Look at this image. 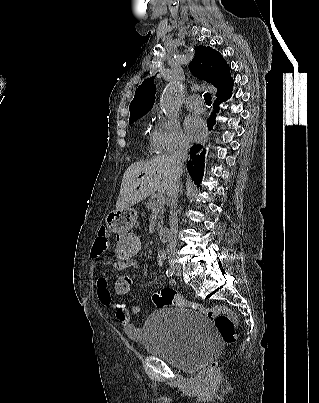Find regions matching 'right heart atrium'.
Wrapping results in <instances>:
<instances>
[{
	"label": "right heart atrium",
	"mask_w": 319,
	"mask_h": 403,
	"mask_svg": "<svg viewBox=\"0 0 319 403\" xmlns=\"http://www.w3.org/2000/svg\"><path fill=\"white\" fill-rule=\"evenodd\" d=\"M152 142L157 151L165 154L181 151L188 147V141L180 123L175 118L159 117Z\"/></svg>",
	"instance_id": "1"
}]
</instances>
